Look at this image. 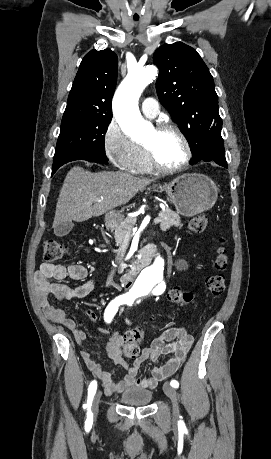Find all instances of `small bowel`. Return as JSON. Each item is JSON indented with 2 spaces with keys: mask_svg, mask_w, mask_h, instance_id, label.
Masks as SVG:
<instances>
[{
  "mask_svg": "<svg viewBox=\"0 0 271 459\" xmlns=\"http://www.w3.org/2000/svg\"><path fill=\"white\" fill-rule=\"evenodd\" d=\"M87 276V269L79 264L64 266L44 263L35 274V290L45 316L52 322L70 330L79 345L85 341V333L77 329L75 322L68 318L63 310L51 304L49 298L53 296L57 300L64 301L88 296L96 287L97 283L94 279L77 287H70L59 282L66 278L85 280ZM87 315L93 322H98L94 311L88 310ZM102 332L108 335L104 349L109 358L126 371L124 378L115 382L113 373L104 370L89 352L83 350L81 356L89 371L100 380L105 393L109 396L122 393L132 387L154 388L159 381L168 378L178 370L194 343L193 336L184 328L171 327L155 338L149 347L143 349L140 356L131 364L123 358L121 353L124 337L118 333H108L105 329ZM161 356H165L166 359L163 364L156 365L152 369L151 376L139 377V369L144 362H157Z\"/></svg>",
  "mask_w": 271,
  "mask_h": 459,
  "instance_id": "small-bowel-1",
  "label": "small bowel"
}]
</instances>
